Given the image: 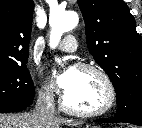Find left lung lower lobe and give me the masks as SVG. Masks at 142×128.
I'll list each match as a JSON object with an SVG mask.
<instances>
[{"label": "left lung lower lobe", "mask_w": 142, "mask_h": 128, "mask_svg": "<svg viewBox=\"0 0 142 128\" xmlns=\"http://www.w3.org/2000/svg\"><path fill=\"white\" fill-rule=\"evenodd\" d=\"M95 121L104 122V123L125 122V123H131V124L142 126V117H123V118L114 117L112 119H97Z\"/></svg>", "instance_id": "left-lung-lower-lobe-1"}]
</instances>
